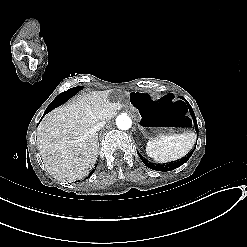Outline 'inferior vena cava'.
I'll return each instance as SVG.
<instances>
[{
    "instance_id": "obj_1",
    "label": "inferior vena cava",
    "mask_w": 247,
    "mask_h": 247,
    "mask_svg": "<svg viewBox=\"0 0 247 247\" xmlns=\"http://www.w3.org/2000/svg\"><path fill=\"white\" fill-rule=\"evenodd\" d=\"M106 122L105 121H100L95 125V130L99 131L100 129H102L105 126Z\"/></svg>"
}]
</instances>
